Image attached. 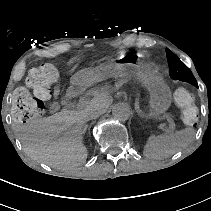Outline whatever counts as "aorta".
Returning <instances> with one entry per match:
<instances>
[{
  "label": "aorta",
  "instance_id": "762f6f07",
  "mask_svg": "<svg viewBox=\"0 0 211 211\" xmlns=\"http://www.w3.org/2000/svg\"><path fill=\"white\" fill-rule=\"evenodd\" d=\"M112 115L117 120L125 121L130 117L131 109L128 104L120 102L113 106Z\"/></svg>",
  "mask_w": 211,
  "mask_h": 211
}]
</instances>
